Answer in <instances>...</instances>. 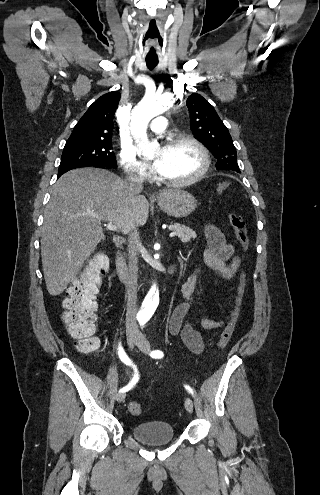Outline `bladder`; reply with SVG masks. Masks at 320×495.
Masks as SVG:
<instances>
[{"mask_svg": "<svg viewBox=\"0 0 320 495\" xmlns=\"http://www.w3.org/2000/svg\"><path fill=\"white\" fill-rule=\"evenodd\" d=\"M133 436L150 445L165 444L175 438L173 426L165 421H149L136 424L132 429Z\"/></svg>", "mask_w": 320, "mask_h": 495, "instance_id": "obj_1", "label": "bladder"}]
</instances>
